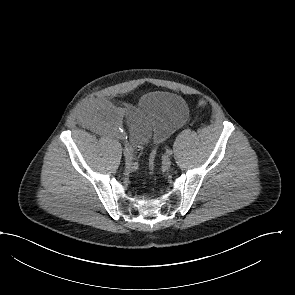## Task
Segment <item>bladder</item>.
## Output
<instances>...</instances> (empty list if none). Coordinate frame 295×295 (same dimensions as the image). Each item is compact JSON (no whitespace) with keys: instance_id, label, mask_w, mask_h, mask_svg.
Here are the masks:
<instances>
[{"instance_id":"obj_1","label":"bladder","mask_w":295,"mask_h":295,"mask_svg":"<svg viewBox=\"0 0 295 295\" xmlns=\"http://www.w3.org/2000/svg\"><path fill=\"white\" fill-rule=\"evenodd\" d=\"M137 111L143 114L148 127L152 128V138L156 141L180 127L189 113L185 100L168 91L147 93L141 98Z\"/></svg>"}]
</instances>
